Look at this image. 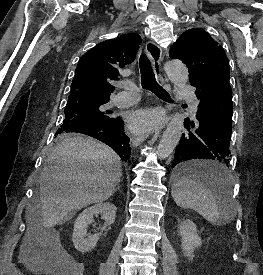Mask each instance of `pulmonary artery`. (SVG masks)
Listing matches in <instances>:
<instances>
[{"instance_id": "pulmonary-artery-1", "label": "pulmonary artery", "mask_w": 263, "mask_h": 275, "mask_svg": "<svg viewBox=\"0 0 263 275\" xmlns=\"http://www.w3.org/2000/svg\"><path fill=\"white\" fill-rule=\"evenodd\" d=\"M125 88L126 90L120 92L116 98V104L120 107L131 106L138 101V94L135 85L127 84ZM179 92L189 102L191 110L195 112L198 100L192 89L188 86H182Z\"/></svg>"}]
</instances>
